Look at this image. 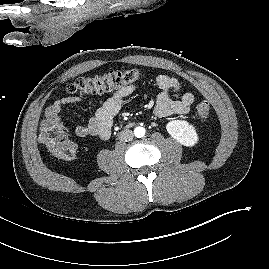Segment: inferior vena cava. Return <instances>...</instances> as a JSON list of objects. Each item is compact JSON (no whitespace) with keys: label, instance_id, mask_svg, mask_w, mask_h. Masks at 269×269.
<instances>
[{"label":"inferior vena cava","instance_id":"obj_1","mask_svg":"<svg viewBox=\"0 0 269 269\" xmlns=\"http://www.w3.org/2000/svg\"><path fill=\"white\" fill-rule=\"evenodd\" d=\"M134 138V133L131 130H123L120 135L119 139L121 141H131Z\"/></svg>","mask_w":269,"mask_h":269}]
</instances>
